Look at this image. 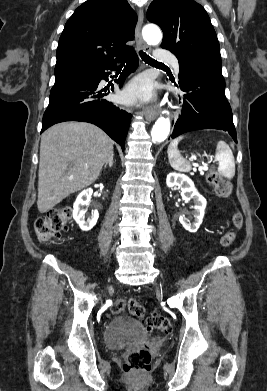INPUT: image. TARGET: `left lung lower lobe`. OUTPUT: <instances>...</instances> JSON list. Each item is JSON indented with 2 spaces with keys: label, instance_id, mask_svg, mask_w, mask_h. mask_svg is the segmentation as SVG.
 I'll return each instance as SVG.
<instances>
[{
  "label": "left lung lower lobe",
  "instance_id": "1",
  "mask_svg": "<svg viewBox=\"0 0 267 391\" xmlns=\"http://www.w3.org/2000/svg\"><path fill=\"white\" fill-rule=\"evenodd\" d=\"M179 86L185 92L184 106L172 138L193 130L219 129L228 131L237 143L222 73L205 68L181 67L179 64Z\"/></svg>",
  "mask_w": 267,
  "mask_h": 391
}]
</instances>
